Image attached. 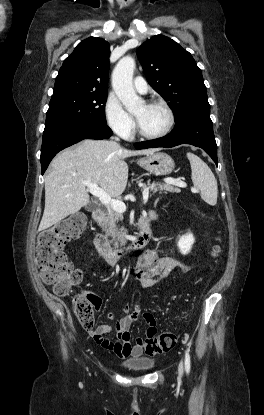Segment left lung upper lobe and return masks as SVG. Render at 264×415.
<instances>
[{
  "label": "left lung upper lobe",
  "mask_w": 264,
  "mask_h": 415,
  "mask_svg": "<svg viewBox=\"0 0 264 415\" xmlns=\"http://www.w3.org/2000/svg\"><path fill=\"white\" fill-rule=\"evenodd\" d=\"M136 52L147 81L169 103L175 122L188 112L210 109L201 69L174 40L156 35Z\"/></svg>",
  "instance_id": "left-lung-upper-lobe-1"
}]
</instances>
